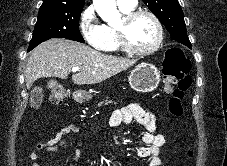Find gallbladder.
<instances>
[{
	"label": "gallbladder",
	"mask_w": 227,
	"mask_h": 166,
	"mask_svg": "<svg viewBox=\"0 0 227 166\" xmlns=\"http://www.w3.org/2000/svg\"><path fill=\"white\" fill-rule=\"evenodd\" d=\"M43 100L42 88L36 86L30 92V105L31 107H39Z\"/></svg>",
	"instance_id": "gallbladder-1"
}]
</instances>
